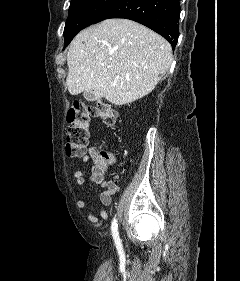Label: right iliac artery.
<instances>
[{"instance_id":"82829eb1","label":"right iliac artery","mask_w":240,"mask_h":281,"mask_svg":"<svg viewBox=\"0 0 240 281\" xmlns=\"http://www.w3.org/2000/svg\"><path fill=\"white\" fill-rule=\"evenodd\" d=\"M111 231H112V235H113L117 249L121 250L122 249L121 240H120L119 233H118V223H117L116 218H114L112 221Z\"/></svg>"}]
</instances>
